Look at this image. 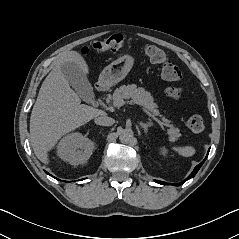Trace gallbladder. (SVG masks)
I'll list each match as a JSON object with an SVG mask.
<instances>
[{
  "label": "gallbladder",
  "mask_w": 239,
  "mask_h": 239,
  "mask_svg": "<svg viewBox=\"0 0 239 239\" xmlns=\"http://www.w3.org/2000/svg\"><path fill=\"white\" fill-rule=\"evenodd\" d=\"M61 71L68 83L83 99L88 100L93 97V89L86 74L75 63L67 62L63 64Z\"/></svg>",
  "instance_id": "gallbladder-1"
}]
</instances>
